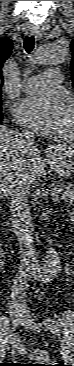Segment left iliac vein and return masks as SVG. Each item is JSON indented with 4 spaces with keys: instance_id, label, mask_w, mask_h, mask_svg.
Wrapping results in <instances>:
<instances>
[{
    "instance_id": "1",
    "label": "left iliac vein",
    "mask_w": 74,
    "mask_h": 366,
    "mask_svg": "<svg viewBox=\"0 0 74 366\" xmlns=\"http://www.w3.org/2000/svg\"><path fill=\"white\" fill-rule=\"evenodd\" d=\"M23 318L21 321V324L28 327L29 329H32L34 331H38L40 332L44 327L42 326L41 323L37 322L36 320H34L30 314L28 313L27 310H23L22 312ZM62 356L64 360H69L70 359V351L67 349V347L62 346Z\"/></svg>"
}]
</instances>
